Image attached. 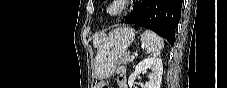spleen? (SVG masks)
<instances>
[{"label": "spleen", "instance_id": "obj_1", "mask_svg": "<svg viewBox=\"0 0 227 88\" xmlns=\"http://www.w3.org/2000/svg\"><path fill=\"white\" fill-rule=\"evenodd\" d=\"M142 46L150 55L159 56L164 46L163 39L150 30L144 31L141 36Z\"/></svg>", "mask_w": 227, "mask_h": 88}]
</instances>
